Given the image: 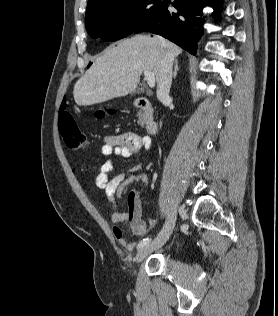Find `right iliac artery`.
I'll return each mask as SVG.
<instances>
[{"mask_svg":"<svg viewBox=\"0 0 278 316\" xmlns=\"http://www.w3.org/2000/svg\"><path fill=\"white\" fill-rule=\"evenodd\" d=\"M150 240L151 239H149V238H145L142 241H140L138 246H137V249H140V248L146 246L147 244H149Z\"/></svg>","mask_w":278,"mask_h":316,"instance_id":"82829eb1","label":"right iliac artery"}]
</instances>
